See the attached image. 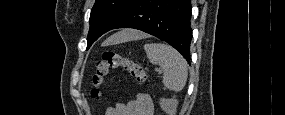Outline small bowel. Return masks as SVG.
Wrapping results in <instances>:
<instances>
[{"label":"small bowel","instance_id":"small-bowel-1","mask_svg":"<svg viewBox=\"0 0 285 115\" xmlns=\"http://www.w3.org/2000/svg\"><path fill=\"white\" fill-rule=\"evenodd\" d=\"M154 110L153 102L148 94L140 93L134 100L126 104L117 103L107 108L105 115H152Z\"/></svg>","mask_w":285,"mask_h":115}]
</instances>
